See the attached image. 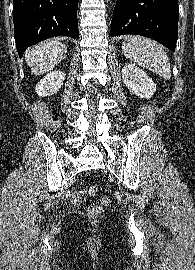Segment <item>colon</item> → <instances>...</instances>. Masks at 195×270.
<instances>
[{"label":"colon","mask_w":195,"mask_h":270,"mask_svg":"<svg viewBox=\"0 0 195 270\" xmlns=\"http://www.w3.org/2000/svg\"><path fill=\"white\" fill-rule=\"evenodd\" d=\"M96 193H97V187L89 186L86 189L77 192L73 196V201L75 203H80L84 200L86 194L95 195ZM101 202L103 205H109L111 202V198L109 196H103L101 199ZM101 213H102V206H100V205H92L88 209V215L92 218L98 217Z\"/></svg>","instance_id":"obj_1"}]
</instances>
